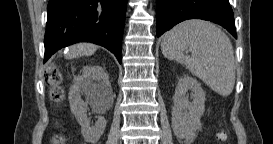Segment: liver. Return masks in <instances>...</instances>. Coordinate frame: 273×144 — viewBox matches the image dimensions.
<instances>
[{
	"label": "liver",
	"instance_id": "obj_1",
	"mask_svg": "<svg viewBox=\"0 0 273 144\" xmlns=\"http://www.w3.org/2000/svg\"><path fill=\"white\" fill-rule=\"evenodd\" d=\"M97 49L98 46L92 43H77L69 47L66 58L73 59L81 56H90L94 54Z\"/></svg>",
	"mask_w": 273,
	"mask_h": 144
}]
</instances>
